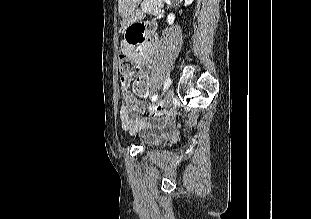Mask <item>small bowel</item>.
<instances>
[{"instance_id":"c3829d8e","label":"small bowel","mask_w":311,"mask_h":219,"mask_svg":"<svg viewBox=\"0 0 311 219\" xmlns=\"http://www.w3.org/2000/svg\"><path fill=\"white\" fill-rule=\"evenodd\" d=\"M156 46L157 38L154 36L153 31L149 30L145 33L144 28L137 41L130 43L125 39L120 45L121 53L133 59L135 64L139 67L141 78L146 82L147 76L145 72L152 63ZM131 77L132 73L128 74L126 77V84L122 85L123 105L120 108L119 115L123 127L135 132L142 126H146L147 128V125L143 119L145 115L144 103L139 99L138 95L129 90V81ZM172 130L169 119H164L156 122L154 129L152 131L147 130L143 136L147 139L155 140L160 135L168 134Z\"/></svg>"}]
</instances>
